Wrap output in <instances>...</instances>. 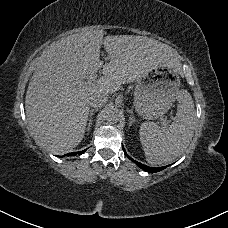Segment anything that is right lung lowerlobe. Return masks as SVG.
Here are the masks:
<instances>
[{
    "mask_svg": "<svg viewBox=\"0 0 228 228\" xmlns=\"http://www.w3.org/2000/svg\"><path fill=\"white\" fill-rule=\"evenodd\" d=\"M85 150L81 151V152H78V153H72V155H76V154H82ZM66 155H71V154H66Z\"/></svg>",
    "mask_w": 228,
    "mask_h": 228,
    "instance_id": "1",
    "label": "right lung lower lobe"
}]
</instances>
